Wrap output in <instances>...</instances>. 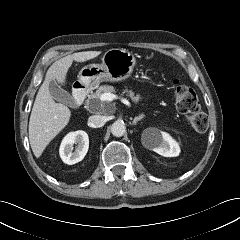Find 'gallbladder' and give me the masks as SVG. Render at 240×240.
Returning <instances> with one entry per match:
<instances>
[{
  "instance_id": "gallbladder-1",
  "label": "gallbladder",
  "mask_w": 240,
  "mask_h": 240,
  "mask_svg": "<svg viewBox=\"0 0 240 240\" xmlns=\"http://www.w3.org/2000/svg\"><path fill=\"white\" fill-rule=\"evenodd\" d=\"M48 89L52 98L66 106L71 108H77L76 100L66 90L62 89L61 86L55 81L51 80L48 84Z\"/></svg>"
}]
</instances>
